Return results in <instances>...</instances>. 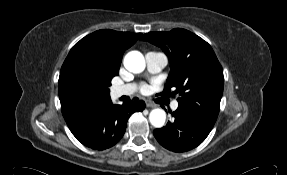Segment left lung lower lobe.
I'll return each mask as SVG.
<instances>
[{"label": "left lung lower lobe", "mask_w": 287, "mask_h": 175, "mask_svg": "<svg viewBox=\"0 0 287 175\" xmlns=\"http://www.w3.org/2000/svg\"><path fill=\"white\" fill-rule=\"evenodd\" d=\"M172 116L173 121L153 131L156 140L170 151L185 152L197 147L213 128L185 108L178 107Z\"/></svg>", "instance_id": "0a47b994"}]
</instances>
